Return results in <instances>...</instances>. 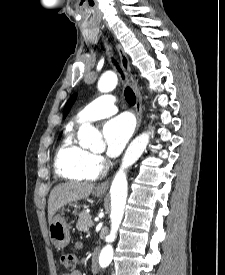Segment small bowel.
I'll return each instance as SVG.
<instances>
[{"label":"small bowel","mask_w":225,"mask_h":275,"mask_svg":"<svg viewBox=\"0 0 225 275\" xmlns=\"http://www.w3.org/2000/svg\"><path fill=\"white\" fill-rule=\"evenodd\" d=\"M62 275H82L80 271L74 270L68 273H63Z\"/></svg>","instance_id":"c3829d8e"}]
</instances>
